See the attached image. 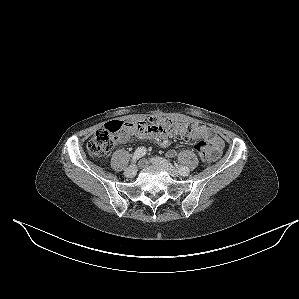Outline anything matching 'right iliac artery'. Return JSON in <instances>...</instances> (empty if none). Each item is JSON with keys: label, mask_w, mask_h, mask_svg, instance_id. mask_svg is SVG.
<instances>
[{"label": "right iliac artery", "mask_w": 299, "mask_h": 299, "mask_svg": "<svg viewBox=\"0 0 299 299\" xmlns=\"http://www.w3.org/2000/svg\"><path fill=\"white\" fill-rule=\"evenodd\" d=\"M146 154V148L145 147H139L136 149V151L133 154L132 162H136L139 158L143 157Z\"/></svg>", "instance_id": "right-iliac-artery-1"}]
</instances>
